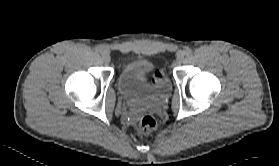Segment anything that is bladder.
Returning a JSON list of instances; mask_svg holds the SVG:
<instances>
[{"mask_svg":"<svg viewBox=\"0 0 279 166\" xmlns=\"http://www.w3.org/2000/svg\"><path fill=\"white\" fill-rule=\"evenodd\" d=\"M153 71L154 64L148 59L138 58L129 61L118 76L119 89L129 99H138L148 93L156 97L165 95L170 89V82L164 73L159 72L157 80L150 84L149 75Z\"/></svg>","mask_w":279,"mask_h":166,"instance_id":"obj_1","label":"bladder"}]
</instances>
